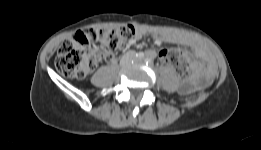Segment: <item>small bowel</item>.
I'll return each instance as SVG.
<instances>
[{
    "instance_id": "c3829d8e",
    "label": "small bowel",
    "mask_w": 261,
    "mask_h": 150,
    "mask_svg": "<svg viewBox=\"0 0 261 150\" xmlns=\"http://www.w3.org/2000/svg\"><path fill=\"white\" fill-rule=\"evenodd\" d=\"M146 34H148L147 29L137 28L134 41L141 39ZM152 38L156 43H169L189 47L192 49L194 55L202 61L204 66L200 63L193 64L194 79L186 85L187 89L197 85L199 82H202V80L208 78L214 73L215 63L211 54L205 45L195 38L183 35H167L159 32L152 33ZM162 51L163 50L156 52L155 50H148L147 55L154 58L158 56L163 62H165L164 57L162 56Z\"/></svg>"
}]
</instances>
